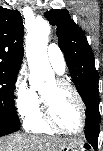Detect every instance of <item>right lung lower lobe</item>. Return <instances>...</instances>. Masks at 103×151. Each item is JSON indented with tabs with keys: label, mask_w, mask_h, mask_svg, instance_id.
<instances>
[{
	"label": "right lung lower lobe",
	"mask_w": 103,
	"mask_h": 151,
	"mask_svg": "<svg viewBox=\"0 0 103 151\" xmlns=\"http://www.w3.org/2000/svg\"><path fill=\"white\" fill-rule=\"evenodd\" d=\"M20 123L12 122L0 116V136L8 135L17 131Z\"/></svg>",
	"instance_id": "1"
}]
</instances>
